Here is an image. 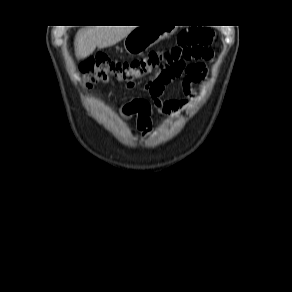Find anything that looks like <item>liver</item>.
Returning a JSON list of instances; mask_svg holds the SVG:
<instances>
[{
	"mask_svg": "<svg viewBox=\"0 0 292 292\" xmlns=\"http://www.w3.org/2000/svg\"><path fill=\"white\" fill-rule=\"evenodd\" d=\"M134 26H94L81 29L75 39L76 55L83 59L91 55L96 47L105 48L125 38Z\"/></svg>",
	"mask_w": 292,
	"mask_h": 292,
	"instance_id": "1",
	"label": "liver"
}]
</instances>
